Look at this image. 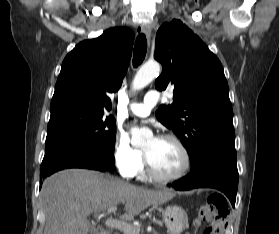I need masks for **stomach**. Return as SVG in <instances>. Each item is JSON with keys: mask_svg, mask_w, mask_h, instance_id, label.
I'll return each instance as SVG.
<instances>
[{"mask_svg": "<svg viewBox=\"0 0 279 234\" xmlns=\"http://www.w3.org/2000/svg\"><path fill=\"white\" fill-rule=\"evenodd\" d=\"M162 218L169 234H180L188 223L186 211L179 206H168L162 211Z\"/></svg>", "mask_w": 279, "mask_h": 234, "instance_id": "0dacf381", "label": "stomach"}]
</instances>
